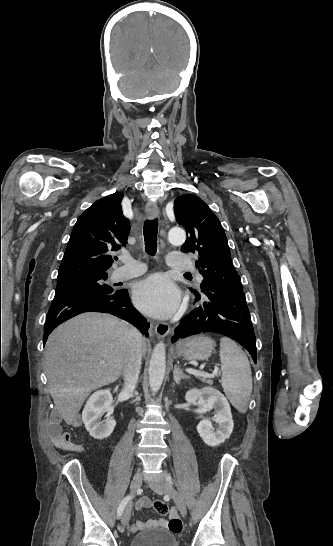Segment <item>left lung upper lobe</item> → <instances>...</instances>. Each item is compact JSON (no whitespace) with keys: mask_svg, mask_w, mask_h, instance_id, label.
<instances>
[{"mask_svg":"<svg viewBox=\"0 0 333 546\" xmlns=\"http://www.w3.org/2000/svg\"><path fill=\"white\" fill-rule=\"evenodd\" d=\"M174 204L176 221L188 234L181 251L197 256L196 267L204 278L200 284L201 291L243 292L219 219L198 196L181 195Z\"/></svg>","mask_w":333,"mask_h":546,"instance_id":"obj_1","label":"left lung upper lobe"}]
</instances>
